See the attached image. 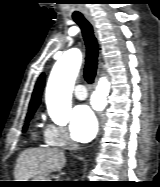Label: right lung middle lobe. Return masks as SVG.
Returning a JSON list of instances; mask_svg holds the SVG:
<instances>
[{
	"label": "right lung middle lobe",
	"mask_w": 160,
	"mask_h": 187,
	"mask_svg": "<svg viewBox=\"0 0 160 187\" xmlns=\"http://www.w3.org/2000/svg\"><path fill=\"white\" fill-rule=\"evenodd\" d=\"M35 110H30L27 114V118H26V121L29 122V120L32 118L33 114H34ZM28 127V124H25L24 128H23V131H26Z\"/></svg>",
	"instance_id": "dd1d6c3e"
}]
</instances>
